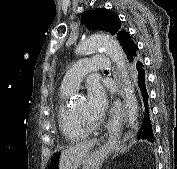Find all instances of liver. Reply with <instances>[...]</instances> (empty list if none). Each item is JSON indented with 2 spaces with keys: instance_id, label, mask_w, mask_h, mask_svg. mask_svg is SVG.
I'll return each mask as SVG.
<instances>
[{
  "instance_id": "liver-1",
  "label": "liver",
  "mask_w": 177,
  "mask_h": 169,
  "mask_svg": "<svg viewBox=\"0 0 177 169\" xmlns=\"http://www.w3.org/2000/svg\"><path fill=\"white\" fill-rule=\"evenodd\" d=\"M97 140L76 144L64 150L59 158V169H77L83 158L88 155Z\"/></svg>"
}]
</instances>
